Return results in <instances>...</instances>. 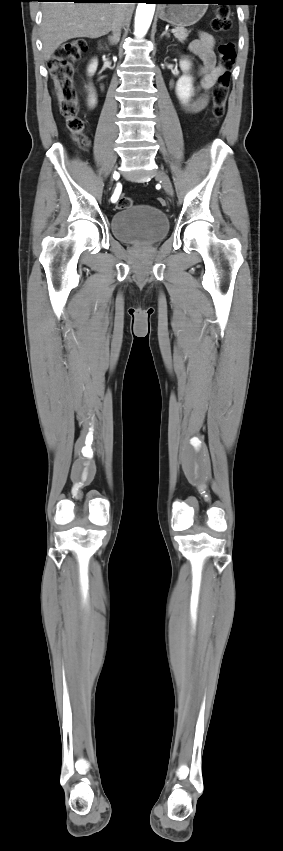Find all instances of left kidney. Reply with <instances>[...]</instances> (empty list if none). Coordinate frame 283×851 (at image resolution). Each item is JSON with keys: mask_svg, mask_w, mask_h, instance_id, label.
<instances>
[{"mask_svg": "<svg viewBox=\"0 0 283 851\" xmlns=\"http://www.w3.org/2000/svg\"><path fill=\"white\" fill-rule=\"evenodd\" d=\"M180 68L183 71V75L178 79L176 83V95L182 102L186 103L189 101L192 95V77L188 74L191 63L187 59H182L180 61Z\"/></svg>", "mask_w": 283, "mask_h": 851, "instance_id": "5707ae66", "label": "left kidney"}]
</instances>
